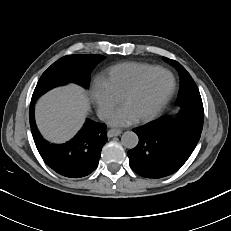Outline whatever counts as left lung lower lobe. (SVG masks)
<instances>
[{"mask_svg": "<svg viewBox=\"0 0 231 231\" xmlns=\"http://www.w3.org/2000/svg\"><path fill=\"white\" fill-rule=\"evenodd\" d=\"M203 119L161 118L134 129L139 143L128 152L133 171L147 178H162L180 169L195 149Z\"/></svg>", "mask_w": 231, "mask_h": 231, "instance_id": "left-lung-lower-lobe-1", "label": "left lung lower lobe"}]
</instances>
